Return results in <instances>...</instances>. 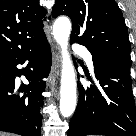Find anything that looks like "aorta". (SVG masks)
<instances>
[{
  "label": "aorta",
  "mask_w": 136,
  "mask_h": 136,
  "mask_svg": "<svg viewBox=\"0 0 136 136\" xmlns=\"http://www.w3.org/2000/svg\"><path fill=\"white\" fill-rule=\"evenodd\" d=\"M70 32V20L64 16L57 18L53 25V36L61 47V55L63 59L60 89V112L63 117L71 116L76 107L75 71L67 50Z\"/></svg>",
  "instance_id": "1"
}]
</instances>
